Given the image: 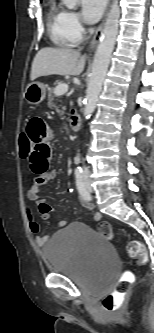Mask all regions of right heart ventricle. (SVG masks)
Instances as JSON below:
<instances>
[{"mask_svg": "<svg viewBox=\"0 0 154 333\" xmlns=\"http://www.w3.org/2000/svg\"><path fill=\"white\" fill-rule=\"evenodd\" d=\"M65 19L66 11L57 3H53L48 11L47 27L50 38L60 47L75 43L68 34Z\"/></svg>", "mask_w": 154, "mask_h": 333, "instance_id": "right-heart-ventricle-1", "label": "right heart ventricle"}]
</instances>
